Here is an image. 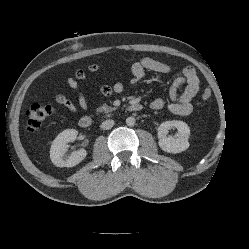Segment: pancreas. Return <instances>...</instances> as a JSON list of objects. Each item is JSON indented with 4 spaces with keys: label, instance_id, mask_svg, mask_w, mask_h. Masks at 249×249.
I'll list each match as a JSON object with an SVG mask.
<instances>
[{
    "label": "pancreas",
    "instance_id": "cf45deb5",
    "mask_svg": "<svg viewBox=\"0 0 249 249\" xmlns=\"http://www.w3.org/2000/svg\"><path fill=\"white\" fill-rule=\"evenodd\" d=\"M115 109H116L115 107H111V106H108L107 104H103V106L98 108L97 111L104 112V113H109V112L114 111Z\"/></svg>",
    "mask_w": 249,
    "mask_h": 249
}]
</instances>
